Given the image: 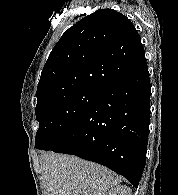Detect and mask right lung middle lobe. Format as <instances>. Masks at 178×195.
I'll list each match as a JSON object with an SVG mask.
<instances>
[{"label":"right lung middle lobe","mask_w":178,"mask_h":195,"mask_svg":"<svg viewBox=\"0 0 178 195\" xmlns=\"http://www.w3.org/2000/svg\"><path fill=\"white\" fill-rule=\"evenodd\" d=\"M98 95V90L82 89L50 97L36 106L39 121L35 147L55 149L66 134L83 119Z\"/></svg>","instance_id":"obj_1"}]
</instances>
